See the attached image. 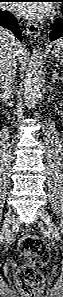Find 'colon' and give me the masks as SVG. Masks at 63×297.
<instances>
[{
    "label": "colon",
    "instance_id": "1",
    "mask_svg": "<svg viewBox=\"0 0 63 297\" xmlns=\"http://www.w3.org/2000/svg\"><path fill=\"white\" fill-rule=\"evenodd\" d=\"M19 251L33 268L26 269L18 279L19 287L37 296L42 289V278L34 268L44 266L49 260V249L39 237L28 235L21 238Z\"/></svg>",
    "mask_w": 63,
    "mask_h": 297
}]
</instances>
